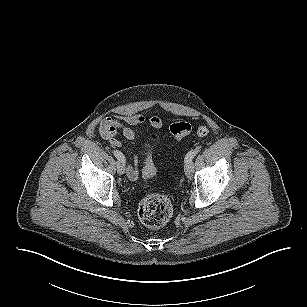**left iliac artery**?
Masks as SVG:
<instances>
[{
    "instance_id": "1",
    "label": "left iliac artery",
    "mask_w": 307,
    "mask_h": 307,
    "mask_svg": "<svg viewBox=\"0 0 307 307\" xmlns=\"http://www.w3.org/2000/svg\"><path fill=\"white\" fill-rule=\"evenodd\" d=\"M196 154L197 152L195 150L189 151L185 157V163L192 161V159L194 158V156H196Z\"/></svg>"
}]
</instances>
